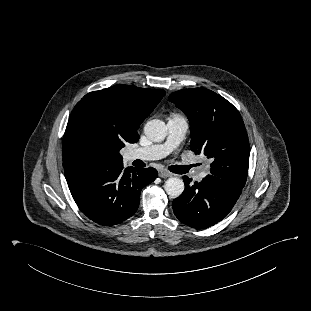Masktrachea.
<instances>
[{
	"label": "trachea",
	"mask_w": 311,
	"mask_h": 311,
	"mask_svg": "<svg viewBox=\"0 0 311 311\" xmlns=\"http://www.w3.org/2000/svg\"><path fill=\"white\" fill-rule=\"evenodd\" d=\"M169 169L175 173H179L178 172L179 168L177 166H171Z\"/></svg>",
	"instance_id": "obj_1"
}]
</instances>
